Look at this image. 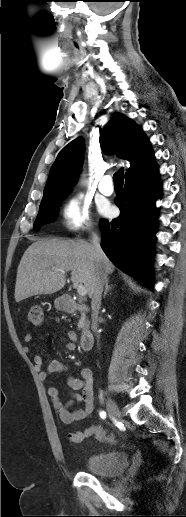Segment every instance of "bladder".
I'll return each mask as SVG.
<instances>
[{
  "mask_svg": "<svg viewBox=\"0 0 186 517\" xmlns=\"http://www.w3.org/2000/svg\"><path fill=\"white\" fill-rule=\"evenodd\" d=\"M129 457L124 451L93 454L86 459V470L101 477L118 476L128 467Z\"/></svg>",
  "mask_w": 186,
  "mask_h": 517,
  "instance_id": "31cf9c89",
  "label": "bladder"
}]
</instances>
